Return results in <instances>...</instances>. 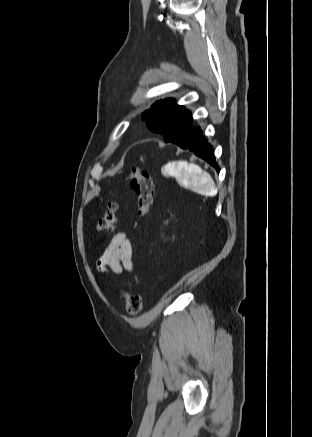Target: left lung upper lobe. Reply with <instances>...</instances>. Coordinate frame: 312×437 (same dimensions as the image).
Listing matches in <instances>:
<instances>
[{"label": "left lung upper lobe", "instance_id": "left-lung-upper-lobe-1", "mask_svg": "<svg viewBox=\"0 0 312 437\" xmlns=\"http://www.w3.org/2000/svg\"><path fill=\"white\" fill-rule=\"evenodd\" d=\"M147 127L162 135L165 142H175L192 129L190 111L175 104L174 99L154 103L142 114Z\"/></svg>", "mask_w": 312, "mask_h": 437}]
</instances>
